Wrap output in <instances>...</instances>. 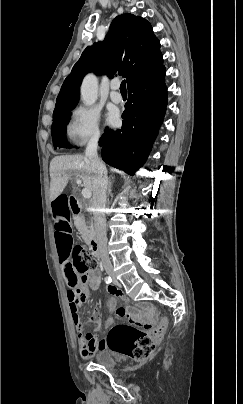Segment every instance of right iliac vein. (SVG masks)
Wrapping results in <instances>:
<instances>
[{
    "label": "right iliac vein",
    "instance_id": "63e3f726",
    "mask_svg": "<svg viewBox=\"0 0 243 404\" xmlns=\"http://www.w3.org/2000/svg\"><path fill=\"white\" fill-rule=\"evenodd\" d=\"M109 275L112 277V278H115V274H114V272H109Z\"/></svg>",
    "mask_w": 243,
    "mask_h": 404
}]
</instances>
